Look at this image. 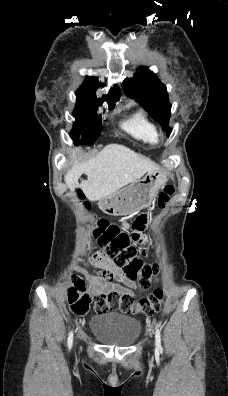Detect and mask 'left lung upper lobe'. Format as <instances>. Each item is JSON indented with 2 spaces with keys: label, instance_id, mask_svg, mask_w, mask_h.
<instances>
[{
  "label": "left lung upper lobe",
  "instance_id": "left-lung-upper-lobe-1",
  "mask_svg": "<svg viewBox=\"0 0 228 396\" xmlns=\"http://www.w3.org/2000/svg\"><path fill=\"white\" fill-rule=\"evenodd\" d=\"M139 73L123 82L125 92L134 98L149 115L159 122L170 135L172 129L168 127L171 114V104L168 101L166 86L157 76L146 67H141Z\"/></svg>",
  "mask_w": 228,
  "mask_h": 396
}]
</instances>
